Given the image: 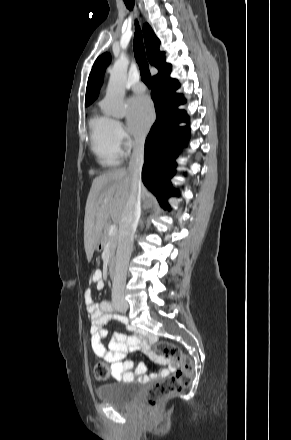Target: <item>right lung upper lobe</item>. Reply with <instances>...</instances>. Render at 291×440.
Listing matches in <instances>:
<instances>
[{
    "label": "right lung upper lobe",
    "mask_w": 291,
    "mask_h": 440,
    "mask_svg": "<svg viewBox=\"0 0 291 440\" xmlns=\"http://www.w3.org/2000/svg\"><path fill=\"white\" fill-rule=\"evenodd\" d=\"M143 32L148 59L150 64L154 65L158 69L157 75L170 70L171 65L165 62L164 52H160L159 50L160 41L147 23L143 26ZM110 60V55L105 53L98 57L95 61L87 83L85 97L86 105L91 104L97 98L103 82V74Z\"/></svg>",
    "instance_id": "cb5924a9"
}]
</instances>
